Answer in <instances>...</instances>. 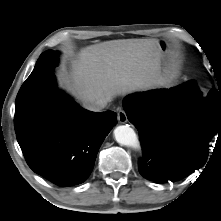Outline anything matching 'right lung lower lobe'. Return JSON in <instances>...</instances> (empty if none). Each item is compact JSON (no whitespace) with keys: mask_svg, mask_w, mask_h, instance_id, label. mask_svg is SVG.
<instances>
[{"mask_svg":"<svg viewBox=\"0 0 221 221\" xmlns=\"http://www.w3.org/2000/svg\"><path fill=\"white\" fill-rule=\"evenodd\" d=\"M33 89L43 91L40 104L22 125H15L29 167L61 187L84 182L101 144L117 123L116 113L82 109L57 90L53 73L32 72L17 98Z\"/></svg>","mask_w":221,"mask_h":221,"instance_id":"right-lung-lower-lobe-1","label":"right lung lower lobe"}]
</instances>
